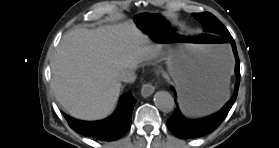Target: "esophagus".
I'll list each match as a JSON object with an SVG mask.
<instances>
[{"label": "esophagus", "mask_w": 279, "mask_h": 148, "mask_svg": "<svg viewBox=\"0 0 279 148\" xmlns=\"http://www.w3.org/2000/svg\"><path fill=\"white\" fill-rule=\"evenodd\" d=\"M154 90H155V86L151 82H148L142 86L141 95L145 98L149 97L150 95H152Z\"/></svg>", "instance_id": "1"}]
</instances>
